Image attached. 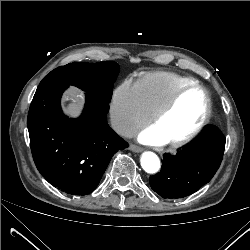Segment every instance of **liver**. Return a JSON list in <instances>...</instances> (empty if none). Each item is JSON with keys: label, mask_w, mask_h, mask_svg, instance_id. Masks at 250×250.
Wrapping results in <instances>:
<instances>
[{"label": "liver", "mask_w": 250, "mask_h": 250, "mask_svg": "<svg viewBox=\"0 0 250 250\" xmlns=\"http://www.w3.org/2000/svg\"><path fill=\"white\" fill-rule=\"evenodd\" d=\"M69 103L64 107V111L70 117H78L83 108V101L78 97H72L69 99Z\"/></svg>", "instance_id": "6515ba94"}]
</instances>
